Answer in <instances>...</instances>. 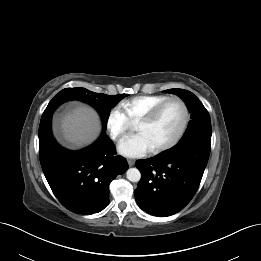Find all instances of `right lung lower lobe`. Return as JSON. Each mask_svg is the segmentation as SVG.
<instances>
[{
    "label": "right lung lower lobe",
    "mask_w": 261,
    "mask_h": 261,
    "mask_svg": "<svg viewBox=\"0 0 261 261\" xmlns=\"http://www.w3.org/2000/svg\"><path fill=\"white\" fill-rule=\"evenodd\" d=\"M51 117L41 118L38 135L41 166L54 195L74 213L100 212L109 203V184L128 169L126 159L116 155L105 131L83 150L64 149L52 135Z\"/></svg>",
    "instance_id": "98d812e1"
}]
</instances>
